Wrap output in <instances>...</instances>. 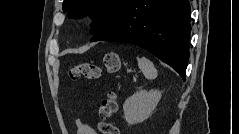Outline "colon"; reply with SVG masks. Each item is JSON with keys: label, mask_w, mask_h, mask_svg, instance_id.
<instances>
[{"label": "colon", "mask_w": 239, "mask_h": 134, "mask_svg": "<svg viewBox=\"0 0 239 134\" xmlns=\"http://www.w3.org/2000/svg\"><path fill=\"white\" fill-rule=\"evenodd\" d=\"M120 57L115 52H109L104 56V69L109 73L117 72L120 69ZM69 77L75 81L81 77L88 80H95L101 76V68L94 63L85 62L69 69ZM118 110V101L115 93H109L100 103L98 115L101 121L98 128L103 134H120L118 127L106 120L113 116Z\"/></svg>", "instance_id": "5ec220e1"}]
</instances>
